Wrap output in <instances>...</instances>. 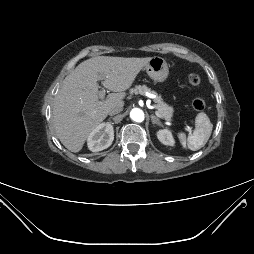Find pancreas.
Masks as SVG:
<instances>
[{"label":"pancreas","instance_id":"obj_1","mask_svg":"<svg viewBox=\"0 0 254 254\" xmlns=\"http://www.w3.org/2000/svg\"><path fill=\"white\" fill-rule=\"evenodd\" d=\"M130 92L132 94H145L146 92L152 91L145 85H138L135 88H132ZM154 102L156 103V109L161 114L162 118L170 121L173 113V108L164 103L161 97H156Z\"/></svg>","mask_w":254,"mask_h":254}]
</instances>
